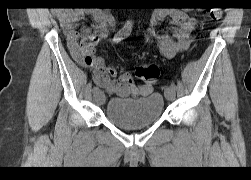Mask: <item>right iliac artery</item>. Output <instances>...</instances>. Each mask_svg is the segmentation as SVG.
<instances>
[{
    "instance_id": "right-iliac-artery-1",
    "label": "right iliac artery",
    "mask_w": 251,
    "mask_h": 180,
    "mask_svg": "<svg viewBox=\"0 0 251 180\" xmlns=\"http://www.w3.org/2000/svg\"><path fill=\"white\" fill-rule=\"evenodd\" d=\"M132 25H133L132 20H127L125 25L113 37V42L118 43L121 40L128 37L130 35L131 31H132ZM99 91H100L99 87H97V86L93 87V93L94 94H96Z\"/></svg>"
}]
</instances>
